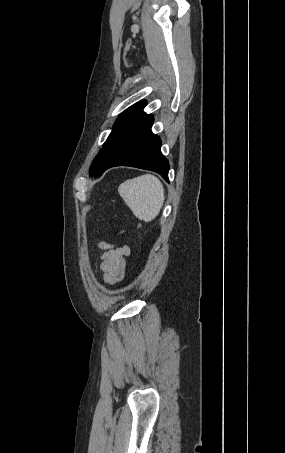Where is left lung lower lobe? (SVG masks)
<instances>
[{
  "label": "left lung lower lobe",
  "mask_w": 285,
  "mask_h": 453,
  "mask_svg": "<svg viewBox=\"0 0 285 453\" xmlns=\"http://www.w3.org/2000/svg\"><path fill=\"white\" fill-rule=\"evenodd\" d=\"M153 120L143 112L126 129L98 176L114 166H132L157 172L168 182L169 163L160 151V138L151 131Z\"/></svg>",
  "instance_id": "0a47b994"
}]
</instances>
